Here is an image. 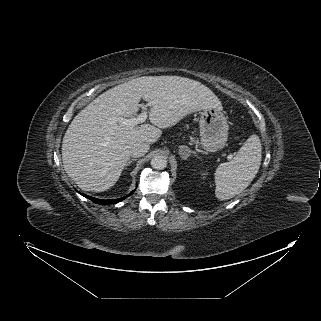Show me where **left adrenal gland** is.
I'll list each match as a JSON object with an SVG mask.
<instances>
[{"label": "left adrenal gland", "instance_id": "a2214340", "mask_svg": "<svg viewBox=\"0 0 321 321\" xmlns=\"http://www.w3.org/2000/svg\"><path fill=\"white\" fill-rule=\"evenodd\" d=\"M191 154H195V152L191 151L188 146H179V155L182 159L186 160Z\"/></svg>", "mask_w": 321, "mask_h": 321}]
</instances>
